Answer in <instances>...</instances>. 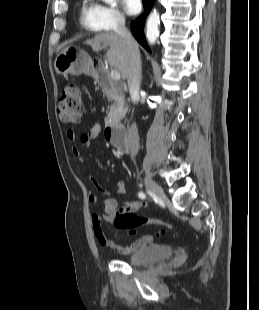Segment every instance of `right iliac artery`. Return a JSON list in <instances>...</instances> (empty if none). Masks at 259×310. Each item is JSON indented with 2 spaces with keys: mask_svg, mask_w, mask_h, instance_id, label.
Here are the masks:
<instances>
[{
  "mask_svg": "<svg viewBox=\"0 0 259 310\" xmlns=\"http://www.w3.org/2000/svg\"><path fill=\"white\" fill-rule=\"evenodd\" d=\"M139 197L141 198V199H145L146 198V195L143 193V192H139Z\"/></svg>",
  "mask_w": 259,
  "mask_h": 310,
  "instance_id": "82829eb1",
  "label": "right iliac artery"
}]
</instances>
